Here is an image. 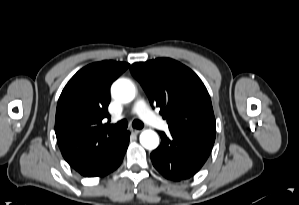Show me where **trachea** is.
<instances>
[{"label":"trachea","instance_id":"obj_1","mask_svg":"<svg viewBox=\"0 0 299 205\" xmlns=\"http://www.w3.org/2000/svg\"><path fill=\"white\" fill-rule=\"evenodd\" d=\"M132 126L136 129H142L144 124L140 120H134ZM128 127V122L126 120H121L115 125H107V128L112 131L121 132L126 130Z\"/></svg>","mask_w":299,"mask_h":205}]
</instances>
